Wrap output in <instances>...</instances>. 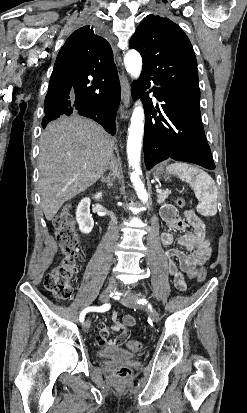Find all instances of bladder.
I'll return each mask as SVG.
<instances>
[{"label": "bladder", "instance_id": "1", "mask_svg": "<svg viewBox=\"0 0 247 413\" xmlns=\"http://www.w3.org/2000/svg\"><path fill=\"white\" fill-rule=\"evenodd\" d=\"M97 356L99 359L119 358L127 360L133 357V352L106 346L105 348H97Z\"/></svg>", "mask_w": 247, "mask_h": 413}]
</instances>
